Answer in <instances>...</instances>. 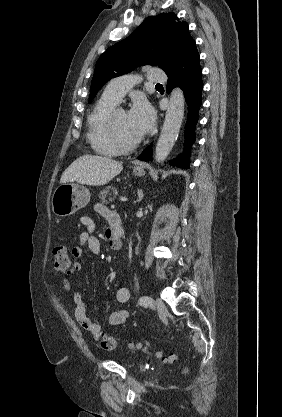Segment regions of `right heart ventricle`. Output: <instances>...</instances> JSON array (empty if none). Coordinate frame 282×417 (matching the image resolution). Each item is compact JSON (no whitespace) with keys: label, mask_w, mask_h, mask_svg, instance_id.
Returning a JSON list of instances; mask_svg holds the SVG:
<instances>
[{"label":"right heart ventricle","mask_w":282,"mask_h":417,"mask_svg":"<svg viewBox=\"0 0 282 417\" xmlns=\"http://www.w3.org/2000/svg\"><path fill=\"white\" fill-rule=\"evenodd\" d=\"M116 105L117 102L102 96L88 118V140L92 147L103 155H112L118 151L102 128L107 115Z\"/></svg>","instance_id":"obj_1"}]
</instances>
